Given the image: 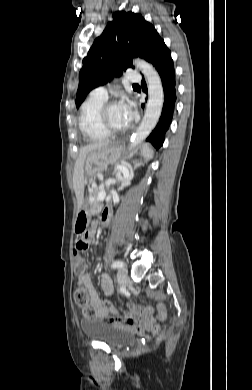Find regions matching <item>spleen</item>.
I'll return each mask as SVG.
<instances>
[{
  "mask_svg": "<svg viewBox=\"0 0 252 390\" xmlns=\"http://www.w3.org/2000/svg\"><path fill=\"white\" fill-rule=\"evenodd\" d=\"M141 155L144 157L145 160H149L150 158H152L153 152L147 145H144L141 150Z\"/></svg>",
  "mask_w": 252,
  "mask_h": 390,
  "instance_id": "spleen-1",
  "label": "spleen"
}]
</instances>
